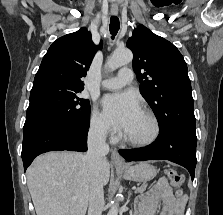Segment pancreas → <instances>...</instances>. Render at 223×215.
<instances>
[{"label": "pancreas", "instance_id": "pancreas-1", "mask_svg": "<svg viewBox=\"0 0 223 215\" xmlns=\"http://www.w3.org/2000/svg\"><path fill=\"white\" fill-rule=\"evenodd\" d=\"M146 187H147V183H142V185H140V187H138L136 191H145Z\"/></svg>", "mask_w": 223, "mask_h": 215}]
</instances>
